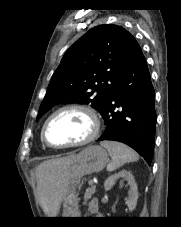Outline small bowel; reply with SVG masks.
<instances>
[{
    "label": "small bowel",
    "instance_id": "small-bowel-1",
    "mask_svg": "<svg viewBox=\"0 0 181 227\" xmlns=\"http://www.w3.org/2000/svg\"><path fill=\"white\" fill-rule=\"evenodd\" d=\"M98 202L96 200H91L88 203V210L92 214H97L98 213Z\"/></svg>",
    "mask_w": 181,
    "mask_h": 227
}]
</instances>
